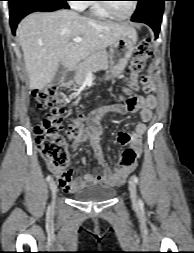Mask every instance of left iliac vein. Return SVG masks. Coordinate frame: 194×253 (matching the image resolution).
<instances>
[{
  "label": "left iliac vein",
  "mask_w": 194,
  "mask_h": 253,
  "mask_svg": "<svg viewBox=\"0 0 194 253\" xmlns=\"http://www.w3.org/2000/svg\"><path fill=\"white\" fill-rule=\"evenodd\" d=\"M129 191H130L131 201H132L133 205L136 206L138 204V201H137L136 185H135L134 181L129 182Z\"/></svg>",
  "instance_id": "1"
}]
</instances>
